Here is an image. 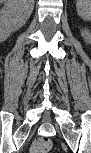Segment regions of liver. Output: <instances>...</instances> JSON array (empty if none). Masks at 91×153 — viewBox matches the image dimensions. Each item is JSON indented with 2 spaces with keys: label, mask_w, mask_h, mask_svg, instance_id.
I'll return each mask as SVG.
<instances>
[{
  "label": "liver",
  "mask_w": 91,
  "mask_h": 153,
  "mask_svg": "<svg viewBox=\"0 0 91 153\" xmlns=\"http://www.w3.org/2000/svg\"><path fill=\"white\" fill-rule=\"evenodd\" d=\"M26 3L29 4V5L32 6V7H33V5H34V1H33V0H27Z\"/></svg>",
  "instance_id": "6515ba94"
}]
</instances>
